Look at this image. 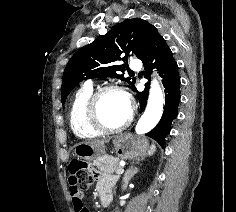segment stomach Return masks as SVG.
Returning a JSON list of instances; mask_svg holds the SVG:
<instances>
[{"instance_id":"0dacf381","label":"stomach","mask_w":236,"mask_h":212,"mask_svg":"<svg viewBox=\"0 0 236 212\" xmlns=\"http://www.w3.org/2000/svg\"><path fill=\"white\" fill-rule=\"evenodd\" d=\"M113 145L118 156L123 158H141L149 152V143L145 138H134L130 134L116 135ZM74 156L91 162L105 156V146L93 147L86 143L75 146Z\"/></svg>"}]
</instances>
